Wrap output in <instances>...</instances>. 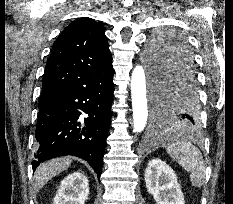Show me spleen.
Returning <instances> with one entry per match:
<instances>
[{
    "mask_svg": "<svg viewBox=\"0 0 233 204\" xmlns=\"http://www.w3.org/2000/svg\"><path fill=\"white\" fill-rule=\"evenodd\" d=\"M170 157L190 173L191 185L200 188L206 181V168L200 150L190 142L175 141L167 146Z\"/></svg>",
    "mask_w": 233,
    "mask_h": 204,
    "instance_id": "obj_1",
    "label": "spleen"
}]
</instances>
